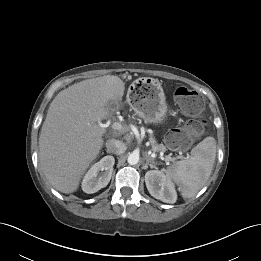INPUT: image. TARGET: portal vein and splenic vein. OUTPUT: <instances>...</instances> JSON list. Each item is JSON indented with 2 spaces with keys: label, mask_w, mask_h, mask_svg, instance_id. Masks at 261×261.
I'll use <instances>...</instances> for the list:
<instances>
[{
  "label": "portal vein and splenic vein",
  "mask_w": 261,
  "mask_h": 261,
  "mask_svg": "<svg viewBox=\"0 0 261 261\" xmlns=\"http://www.w3.org/2000/svg\"><path fill=\"white\" fill-rule=\"evenodd\" d=\"M99 125L101 126V127H105V125L104 124H102V123H99ZM112 128L114 129V130H118V131H122L123 130V126L121 125V123H119V122H114L113 124H112ZM153 158L156 156L155 155V153H152V155H151ZM169 159H171V157L170 156H167ZM170 161V160H169Z\"/></svg>",
  "instance_id": "portal-vein-and-splenic-vein-1"
}]
</instances>
